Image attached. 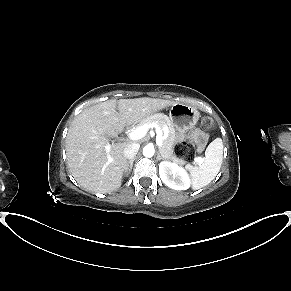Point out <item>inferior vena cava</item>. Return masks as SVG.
I'll use <instances>...</instances> for the list:
<instances>
[{
  "label": "inferior vena cava",
  "mask_w": 291,
  "mask_h": 291,
  "mask_svg": "<svg viewBox=\"0 0 291 291\" xmlns=\"http://www.w3.org/2000/svg\"><path fill=\"white\" fill-rule=\"evenodd\" d=\"M139 147L140 145L138 143H129L127 144V146L124 148V156L127 158V159H133L138 150H139Z\"/></svg>",
  "instance_id": "obj_1"
}]
</instances>
